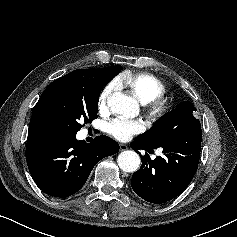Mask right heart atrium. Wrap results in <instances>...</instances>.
Listing matches in <instances>:
<instances>
[{
    "label": "right heart atrium",
    "instance_id": "1",
    "mask_svg": "<svg viewBox=\"0 0 237 237\" xmlns=\"http://www.w3.org/2000/svg\"><path fill=\"white\" fill-rule=\"evenodd\" d=\"M116 88L117 84L115 82L109 83L103 87L98 97V106L100 110L106 109L108 100Z\"/></svg>",
    "mask_w": 237,
    "mask_h": 237
}]
</instances>
